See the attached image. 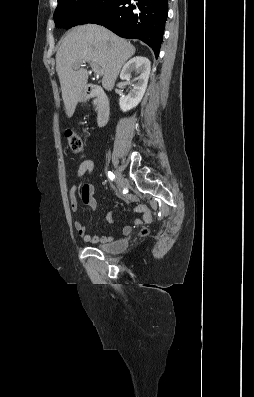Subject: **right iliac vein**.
Returning <instances> with one entry per match:
<instances>
[{"label":"right iliac vein","instance_id":"obj_1","mask_svg":"<svg viewBox=\"0 0 254 397\" xmlns=\"http://www.w3.org/2000/svg\"><path fill=\"white\" fill-rule=\"evenodd\" d=\"M116 184L119 189L123 188L125 185V179L119 171H115Z\"/></svg>","mask_w":254,"mask_h":397}]
</instances>
